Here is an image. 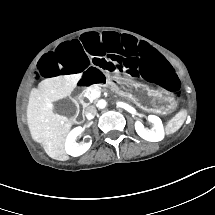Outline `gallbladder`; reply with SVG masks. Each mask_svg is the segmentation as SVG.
Listing matches in <instances>:
<instances>
[{"mask_svg":"<svg viewBox=\"0 0 215 215\" xmlns=\"http://www.w3.org/2000/svg\"><path fill=\"white\" fill-rule=\"evenodd\" d=\"M55 113L65 116L67 118H73L76 115V104L75 102L66 97L62 100L54 102Z\"/></svg>","mask_w":215,"mask_h":215,"instance_id":"obj_1","label":"gallbladder"}]
</instances>
